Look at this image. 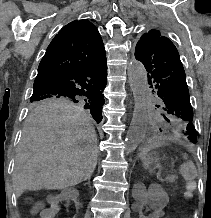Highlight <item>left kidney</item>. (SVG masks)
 I'll return each instance as SVG.
<instances>
[{"instance_id":"obj_1","label":"left kidney","mask_w":211,"mask_h":218,"mask_svg":"<svg viewBox=\"0 0 211 218\" xmlns=\"http://www.w3.org/2000/svg\"><path fill=\"white\" fill-rule=\"evenodd\" d=\"M134 215H147L146 218H165V215H169V210L163 207V198H140V202H135Z\"/></svg>"}]
</instances>
